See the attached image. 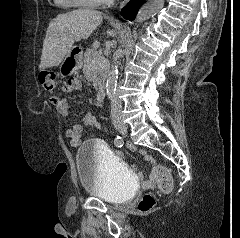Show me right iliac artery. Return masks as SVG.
I'll return each instance as SVG.
<instances>
[{"label": "right iliac artery", "instance_id": "obj_1", "mask_svg": "<svg viewBox=\"0 0 240 238\" xmlns=\"http://www.w3.org/2000/svg\"><path fill=\"white\" fill-rule=\"evenodd\" d=\"M114 144L117 146V147H122L123 146V138L120 137V136H117L114 140Z\"/></svg>", "mask_w": 240, "mask_h": 238}]
</instances>
